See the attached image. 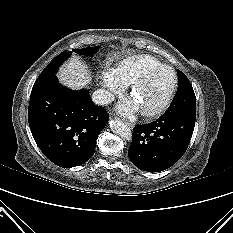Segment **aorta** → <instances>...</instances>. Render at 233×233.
I'll return each instance as SVG.
<instances>
[{
	"label": "aorta",
	"mask_w": 233,
	"mask_h": 233,
	"mask_svg": "<svg viewBox=\"0 0 233 233\" xmlns=\"http://www.w3.org/2000/svg\"><path fill=\"white\" fill-rule=\"evenodd\" d=\"M109 126L113 133L119 135L124 140H132V132L130 128L120 119L111 120Z\"/></svg>",
	"instance_id": "1"
}]
</instances>
